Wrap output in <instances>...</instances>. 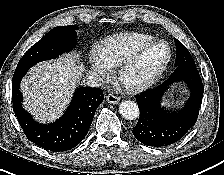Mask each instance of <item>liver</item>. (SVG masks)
Here are the masks:
<instances>
[{"mask_svg":"<svg viewBox=\"0 0 224 175\" xmlns=\"http://www.w3.org/2000/svg\"><path fill=\"white\" fill-rule=\"evenodd\" d=\"M69 55L31 68L22 82L24 108L39 122L58 119L69 103L84 68Z\"/></svg>","mask_w":224,"mask_h":175,"instance_id":"obj_1","label":"liver"}]
</instances>
